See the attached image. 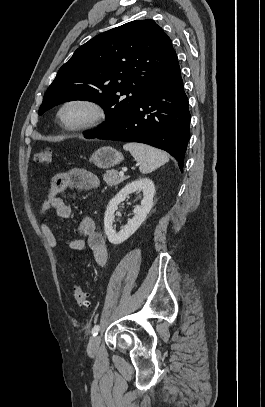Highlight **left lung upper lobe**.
Masks as SVG:
<instances>
[{
  "instance_id": "5c2ea615",
  "label": "left lung upper lobe",
  "mask_w": 265,
  "mask_h": 407,
  "mask_svg": "<svg viewBox=\"0 0 265 407\" xmlns=\"http://www.w3.org/2000/svg\"><path fill=\"white\" fill-rule=\"evenodd\" d=\"M171 39L153 20L113 28L80 46L48 87L39 115L60 103L89 100L104 108L102 135L122 122L149 90L179 69Z\"/></svg>"
}]
</instances>
